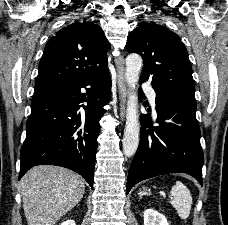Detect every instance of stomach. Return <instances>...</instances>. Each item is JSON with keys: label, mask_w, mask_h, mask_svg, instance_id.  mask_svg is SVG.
<instances>
[{"label": "stomach", "mask_w": 228, "mask_h": 225, "mask_svg": "<svg viewBox=\"0 0 228 225\" xmlns=\"http://www.w3.org/2000/svg\"><path fill=\"white\" fill-rule=\"evenodd\" d=\"M142 195H147L148 193V189H143V191H141Z\"/></svg>", "instance_id": "obj_1"}]
</instances>
